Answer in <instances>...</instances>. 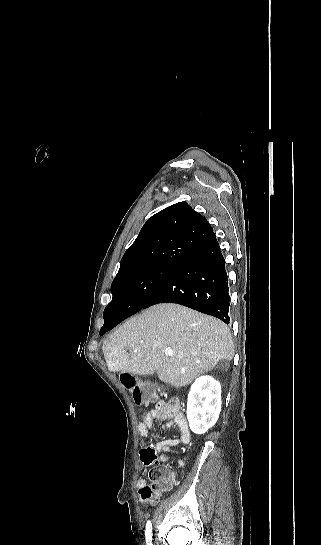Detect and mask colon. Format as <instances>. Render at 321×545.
<instances>
[{
	"instance_id": "colon-1",
	"label": "colon",
	"mask_w": 321,
	"mask_h": 545,
	"mask_svg": "<svg viewBox=\"0 0 321 545\" xmlns=\"http://www.w3.org/2000/svg\"><path fill=\"white\" fill-rule=\"evenodd\" d=\"M120 381L124 387L128 389L137 405H146L155 397V392L151 385L141 382L130 373L121 374ZM143 454L148 459H153L156 456L155 450L152 447L144 449ZM172 485L173 483L166 478L163 473L154 471L151 476V484L146 485L139 490L141 501L146 505L155 504L160 495Z\"/></svg>"
}]
</instances>
